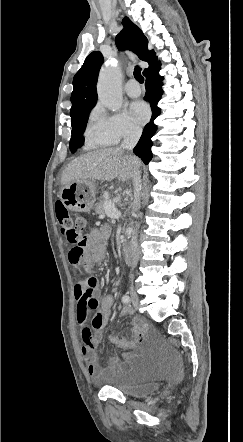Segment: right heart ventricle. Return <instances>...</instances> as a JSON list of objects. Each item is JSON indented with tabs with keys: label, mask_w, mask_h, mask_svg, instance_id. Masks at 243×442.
I'll return each mask as SVG.
<instances>
[{
	"label": "right heart ventricle",
	"mask_w": 243,
	"mask_h": 442,
	"mask_svg": "<svg viewBox=\"0 0 243 442\" xmlns=\"http://www.w3.org/2000/svg\"><path fill=\"white\" fill-rule=\"evenodd\" d=\"M84 138L88 148L106 147L114 143L100 130L96 115L91 116L84 133Z\"/></svg>",
	"instance_id": "1"
}]
</instances>
